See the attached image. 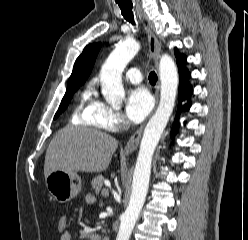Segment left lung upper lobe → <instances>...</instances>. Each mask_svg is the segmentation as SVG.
Instances as JSON below:
<instances>
[{"mask_svg": "<svg viewBox=\"0 0 248 240\" xmlns=\"http://www.w3.org/2000/svg\"><path fill=\"white\" fill-rule=\"evenodd\" d=\"M175 56L177 58V61H180L181 59L185 57L183 54L178 53L176 49H175Z\"/></svg>", "mask_w": 248, "mask_h": 240, "instance_id": "5c2ea615", "label": "left lung upper lobe"}]
</instances>
